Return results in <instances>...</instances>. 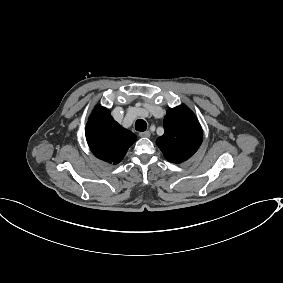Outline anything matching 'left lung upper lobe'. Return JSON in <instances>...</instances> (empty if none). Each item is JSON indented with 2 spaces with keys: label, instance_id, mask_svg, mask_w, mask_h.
Masks as SVG:
<instances>
[{
  "label": "left lung upper lobe",
  "instance_id": "1",
  "mask_svg": "<svg viewBox=\"0 0 283 283\" xmlns=\"http://www.w3.org/2000/svg\"><path fill=\"white\" fill-rule=\"evenodd\" d=\"M163 125L164 134L156 144L169 162H184L200 147L203 140L201 125L185 105L169 109Z\"/></svg>",
  "mask_w": 283,
  "mask_h": 283
}]
</instances>
